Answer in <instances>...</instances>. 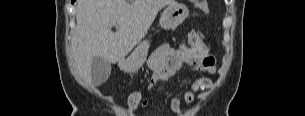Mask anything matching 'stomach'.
<instances>
[{
    "mask_svg": "<svg viewBox=\"0 0 305 116\" xmlns=\"http://www.w3.org/2000/svg\"><path fill=\"white\" fill-rule=\"evenodd\" d=\"M189 15L188 8L180 3L168 5L159 20L161 28L165 30L175 29ZM150 48L149 40L141 41L134 51L128 57H124L119 61V67L126 73H134L138 71L147 59Z\"/></svg>",
    "mask_w": 305,
    "mask_h": 116,
    "instance_id": "stomach-1",
    "label": "stomach"
}]
</instances>
